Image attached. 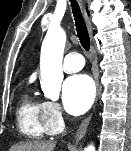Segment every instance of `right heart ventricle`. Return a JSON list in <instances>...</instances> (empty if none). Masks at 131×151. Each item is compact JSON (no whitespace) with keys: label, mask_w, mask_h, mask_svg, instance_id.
<instances>
[{"label":"right heart ventricle","mask_w":131,"mask_h":151,"mask_svg":"<svg viewBox=\"0 0 131 151\" xmlns=\"http://www.w3.org/2000/svg\"><path fill=\"white\" fill-rule=\"evenodd\" d=\"M17 122L20 132L28 138L41 139L51 134L44 118V103L28 94L21 98Z\"/></svg>","instance_id":"e07e8e85"}]
</instances>
